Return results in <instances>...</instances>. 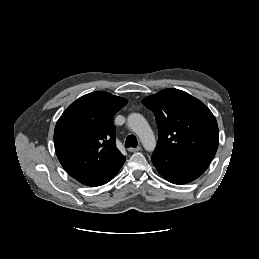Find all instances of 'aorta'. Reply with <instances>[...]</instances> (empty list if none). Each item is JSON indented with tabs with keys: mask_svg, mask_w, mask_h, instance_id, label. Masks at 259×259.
<instances>
[{
	"mask_svg": "<svg viewBox=\"0 0 259 259\" xmlns=\"http://www.w3.org/2000/svg\"><path fill=\"white\" fill-rule=\"evenodd\" d=\"M127 125L139 137L145 150L153 151L155 149V136L144 116L139 113H131L127 118Z\"/></svg>",
	"mask_w": 259,
	"mask_h": 259,
	"instance_id": "762f6f07",
	"label": "aorta"
}]
</instances>
